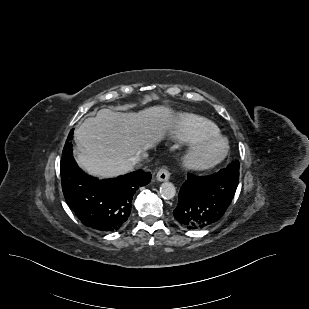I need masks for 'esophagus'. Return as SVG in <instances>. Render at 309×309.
<instances>
[{"label":"esophagus","mask_w":309,"mask_h":309,"mask_svg":"<svg viewBox=\"0 0 309 309\" xmlns=\"http://www.w3.org/2000/svg\"><path fill=\"white\" fill-rule=\"evenodd\" d=\"M170 177V172L168 171V169L166 167H162L156 175V178L158 181H167Z\"/></svg>","instance_id":"34e87169"}]
</instances>
